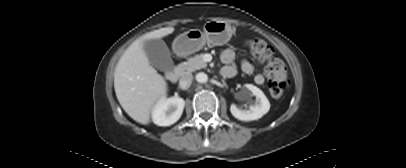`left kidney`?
I'll return each mask as SVG.
<instances>
[{
	"instance_id": "5707ae66",
	"label": "left kidney",
	"mask_w": 406,
	"mask_h": 168,
	"mask_svg": "<svg viewBox=\"0 0 406 168\" xmlns=\"http://www.w3.org/2000/svg\"><path fill=\"white\" fill-rule=\"evenodd\" d=\"M244 93L249 97L255 96V101L250 100L249 109H239L232 104L230 107L231 114L241 121H253L260 119L270 109V103L265 94L258 87L252 84H246Z\"/></svg>"
}]
</instances>
